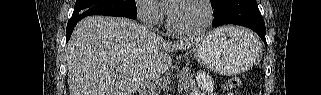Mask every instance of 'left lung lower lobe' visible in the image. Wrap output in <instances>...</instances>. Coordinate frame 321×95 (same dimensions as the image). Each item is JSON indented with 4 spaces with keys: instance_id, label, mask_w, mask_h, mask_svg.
<instances>
[{
    "instance_id": "0a47b994",
    "label": "left lung lower lobe",
    "mask_w": 321,
    "mask_h": 95,
    "mask_svg": "<svg viewBox=\"0 0 321 95\" xmlns=\"http://www.w3.org/2000/svg\"><path fill=\"white\" fill-rule=\"evenodd\" d=\"M214 9L212 25L224 24L246 26L255 31L265 44V24L258 9L256 0H222Z\"/></svg>"
}]
</instances>
